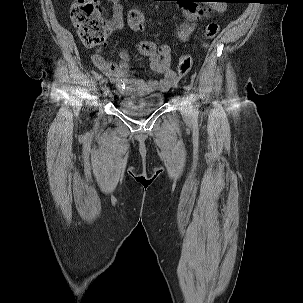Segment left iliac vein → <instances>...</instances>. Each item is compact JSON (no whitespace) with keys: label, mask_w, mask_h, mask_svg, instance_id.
<instances>
[{"label":"left iliac vein","mask_w":303,"mask_h":303,"mask_svg":"<svg viewBox=\"0 0 303 303\" xmlns=\"http://www.w3.org/2000/svg\"><path fill=\"white\" fill-rule=\"evenodd\" d=\"M181 113L185 119H189L191 117L192 105L191 102L186 97L182 98Z\"/></svg>","instance_id":"obj_1"}]
</instances>
